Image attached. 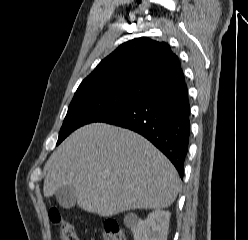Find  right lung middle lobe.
<instances>
[{
    "label": "right lung middle lobe",
    "instance_id": "obj_1",
    "mask_svg": "<svg viewBox=\"0 0 248 240\" xmlns=\"http://www.w3.org/2000/svg\"><path fill=\"white\" fill-rule=\"evenodd\" d=\"M138 99L140 97L110 88L77 89L61 127L57 145L75 129L98 122Z\"/></svg>",
    "mask_w": 248,
    "mask_h": 240
}]
</instances>
